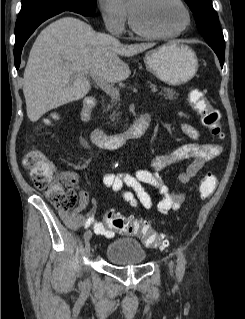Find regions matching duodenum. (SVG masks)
Instances as JSON below:
<instances>
[{
	"instance_id": "1",
	"label": "duodenum",
	"mask_w": 245,
	"mask_h": 319,
	"mask_svg": "<svg viewBox=\"0 0 245 319\" xmlns=\"http://www.w3.org/2000/svg\"><path fill=\"white\" fill-rule=\"evenodd\" d=\"M94 98H85L81 107L80 117L83 123L91 125V110L94 106ZM150 124V116L141 115L125 131L120 133H106L96 126L91 127V140L100 148L114 150L120 148L126 141L139 138L145 134Z\"/></svg>"
}]
</instances>
